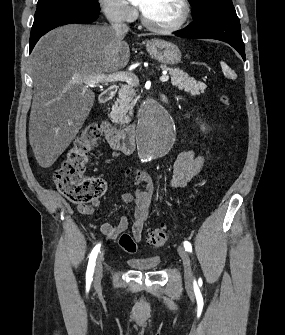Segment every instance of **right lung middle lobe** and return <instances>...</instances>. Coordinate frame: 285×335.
Here are the masks:
<instances>
[{
    "mask_svg": "<svg viewBox=\"0 0 285 335\" xmlns=\"http://www.w3.org/2000/svg\"><path fill=\"white\" fill-rule=\"evenodd\" d=\"M63 9H75L97 14L100 12L96 0H38L35 18Z\"/></svg>",
    "mask_w": 285,
    "mask_h": 335,
    "instance_id": "dd1d6c3e",
    "label": "right lung middle lobe"
}]
</instances>
